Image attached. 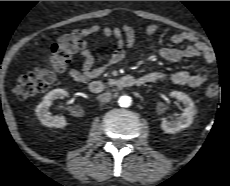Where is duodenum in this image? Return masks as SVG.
<instances>
[{"label": "duodenum", "instance_id": "obj_1", "mask_svg": "<svg viewBox=\"0 0 230 186\" xmlns=\"http://www.w3.org/2000/svg\"><path fill=\"white\" fill-rule=\"evenodd\" d=\"M142 84H144V80L142 77L124 75L115 79L111 84L100 80H93L89 83V89L91 92L99 94L104 92L108 88H129L141 86Z\"/></svg>", "mask_w": 230, "mask_h": 186}]
</instances>
